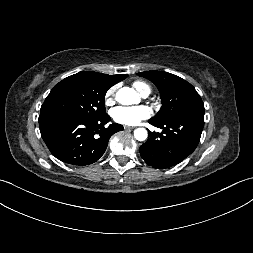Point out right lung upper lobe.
Masks as SVG:
<instances>
[{
  "label": "right lung upper lobe",
  "mask_w": 253,
  "mask_h": 253,
  "mask_svg": "<svg viewBox=\"0 0 253 253\" xmlns=\"http://www.w3.org/2000/svg\"><path fill=\"white\" fill-rule=\"evenodd\" d=\"M102 76L110 83L112 86L122 80H124L128 75L122 74V75H107L102 74Z\"/></svg>",
  "instance_id": "cb5924a9"
}]
</instances>
